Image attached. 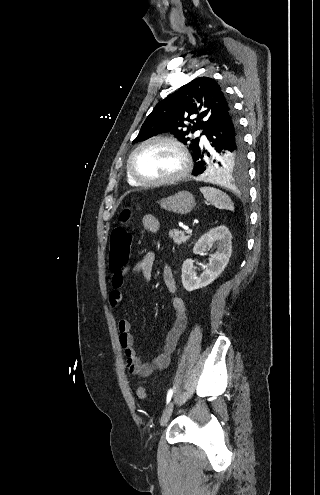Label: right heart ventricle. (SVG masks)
Listing matches in <instances>:
<instances>
[{
	"mask_svg": "<svg viewBox=\"0 0 320 495\" xmlns=\"http://www.w3.org/2000/svg\"><path fill=\"white\" fill-rule=\"evenodd\" d=\"M127 180L130 185L137 186L138 184L127 173Z\"/></svg>",
	"mask_w": 320,
	"mask_h": 495,
	"instance_id": "right-heart-ventricle-1",
	"label": "right heart ventricle"
}]
</instances>
